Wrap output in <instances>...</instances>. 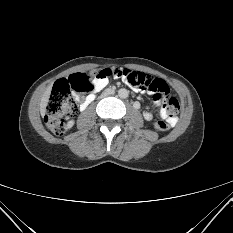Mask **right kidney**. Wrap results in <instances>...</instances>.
<instances>
[{"mask_svg":"<svg viewBox=\"0 0 233 233\" xmlns=\"http://www.w3.org/2000/svg\"><path fill=\"white\" fill-rule=\"evenodd\" d=\"M74 125V120H70L67 123V128L70 129Z\"/></svg>","mask_w":233,"mask_h":233,"instance_id":"right-kidney-1","label":"right kidney"}]
</instances>
